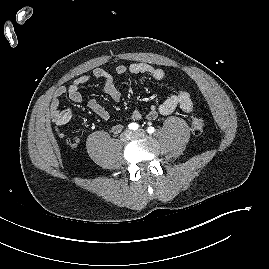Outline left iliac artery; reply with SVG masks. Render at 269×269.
Listing matches in <instances>:
<instances>
[{
  "mask_svg": "<svg viewBox=\"0 0 269 269\" xmlns=\"http://www.w3.org/2000/svg\"><path fill=\"white\" fill-rule=\"evenodd\" d=\"M147 131L149 134H152V133H154L155 129H154V127L150 126V127H148Z\"/></svg>",
  "mask_w": 269,
  "mask_h": 269,
  "instance_id": "obj_1",
  "label": "left iliac artery"
}]
</instances>
